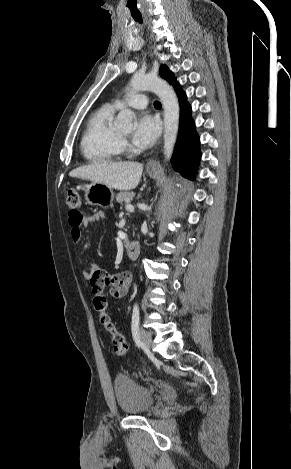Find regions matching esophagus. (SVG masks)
I'll return each instance as SVG.
<instances>
[{
    "mask_svg": "<svg viewBox=\"0 0 291 469\" xmlns=\"http://www.w3.org/2000/svg\"><path fill=\"white\" fill-rule=\"evenodd\" d=\"M157 166H158V162H157L155 159H151V160L147 163V168H148V169L156 168Z\"/></svg>",
    "mask_w": 291,
    "mask_h": 469,
    "instance_id": "1",
    "label": "esophagus"
}]
</instances>
